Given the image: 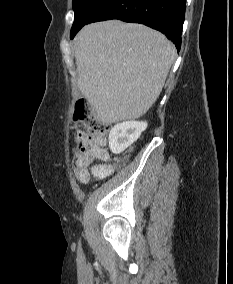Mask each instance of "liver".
Instances as JSON below:
<instances>
[{"mask_svg":"<svg viewBox=\"0 0 233 284\" xmlns=\"http://www.w3.org/2000/svg\"><path fill=\"white\" fill-rule=\"evenodd\" d=\"M77 86L107 123L144 115L159 97L176 50L162 33L111 20L86 25L75 38Z\"/></svg>","mask_w":233,"mask_h":284,"instance_id":"obj_1","label":"liver"}]
</instances>
